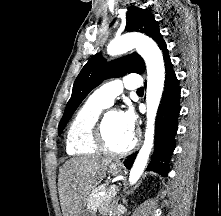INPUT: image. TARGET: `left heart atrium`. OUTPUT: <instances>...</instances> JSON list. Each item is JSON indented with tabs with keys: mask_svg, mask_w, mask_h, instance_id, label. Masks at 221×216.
I'll use <instances>...</instances> for the list:
<instances>
[{
	"mask_svg": "<svg viewBox=\"0 0 221 216\" xmlns=\"http://www.w3.org/2000/svg\"><path fill=\"white\" fill-rule=\"evenodd\" d=\"M121 114V119L125 129L131 135H133L136 127V115L132 108L124 110Z\"/></svg>",
	"mask_w": 221,
	"mask_h": 216,
	"instance_id": "39dd6f15",
	"label": "left heart atrium"
}]
</instances>
